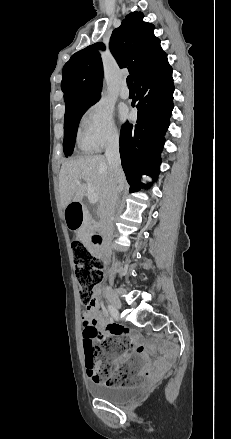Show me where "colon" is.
<instances>
[{"label":"colon","instance_id":"colon-1","mask_svg":"<svg viewBox=\"0 0 231 439\" xmlns=\"http://www.w3.org/2000/svg\"><path fill=\"white\" fill-rule=\"evenodd\" d=\"M75 275L80 287V299L88 307L93 305V294L103 276V263L93 255L79 239L71 244ZM127 348L124 338H107L101 346L86 344L84 346L85 366L88 374L95 380H105L108 386H126L136 382L130 377L129 370L117 369L110 374V362L117 359Z\"/></svg>","mask_w":231,"mask_h":439}]
</instances>
